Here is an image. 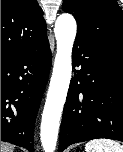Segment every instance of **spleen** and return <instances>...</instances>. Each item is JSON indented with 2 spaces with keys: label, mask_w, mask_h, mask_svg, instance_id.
Here are the masks:
<instances>
[{
  "label": "spleen",
  "mask_w": 123,
  "mask_h": 152,
  "mask_svg": "<svg viewBox=\"0 0 123 152\" xmlns=\"http://www.w3.org/2000/svg\"><path fill=\"white\" fill-rule=\"evenodd\" d=\"M86 152H123V145L110 139H96L85 145Z\"/></svg>",
  "instance_id": "spleen-1"
}]
</instances>
